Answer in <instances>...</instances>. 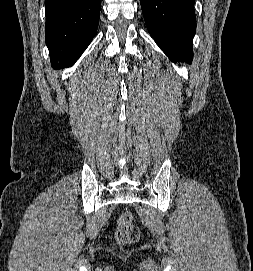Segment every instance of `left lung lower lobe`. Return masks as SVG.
Returning <instances> with one entry per match:
<instances>
[{
    "label": "left lung lower lobe",
    "mask_w": 253,
    "mask_h": 271,
    "mask_svg": "<svg viewBox=\"0 0 253 271\" xmlns=\"http://www.w3.org/2000/svg\"><path fill=\"white\" fill-rule=\"evenodd\" d=\"M149 33L172 61L191 62L194 0H140Z\"/></svg>",
    "instance_id": "left-lung-lower-lobe-1"
}]
</instances>
